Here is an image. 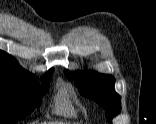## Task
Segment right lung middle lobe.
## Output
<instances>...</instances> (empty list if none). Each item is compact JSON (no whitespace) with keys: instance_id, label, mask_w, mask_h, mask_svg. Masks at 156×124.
<instances>
[{"instance_id":"1","label":"right lung middle lobe","mask_w":156,"mask_h":124,"mask_svg":"<svg viewBox=\"0 0 156 124\" xmlns=\"http://www.w3.org/2000/svg\"><path fill=\"white\" fill-rule=\"evenodd\" d=\"M50 77L39 86L35 78L0 75V124H13L32 113L48 91Z\"/></svg>"}]
</instances>
